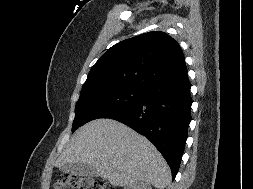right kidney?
<instances>
[{
	"label": "right kidney",
	"instance_id": "ca27d5eb",
	"mask_svg": "<svg viewBox=\"0 0 253 189\" xmlns=\"http://www.w3.org/2000/svg\"><path fill=\"white\" fill-rule=\"evenodd\" d=\"M124 189H152L149 184H146L144 182H135L133 184L128 185L127 187H124Z\"/></svg>",
	"mask_w": 253,
	"mask_h": 189
}]
</instances>
